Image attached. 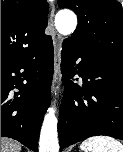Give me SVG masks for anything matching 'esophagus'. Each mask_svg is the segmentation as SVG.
<instances>
[{"instance_id":"1","label":"esophagus","mask_w":123,"mask_h":152,"mask_svg":"<svg viewBox=\"0 0 123 152\" xmlns=\"http://www.w3.org/2000/svg\"><path fill=\"white\" fill-rule=\"evenodd\" d=\"M53 17H54V8H52L50 12V24L52 26H53ZM62 40H63L62 37L57 32L54 31L52 34V41L54 47V77H53L52 90L55 89V84L57 83L58 74L60 71Z\"/></svg>"}]
</instances>
